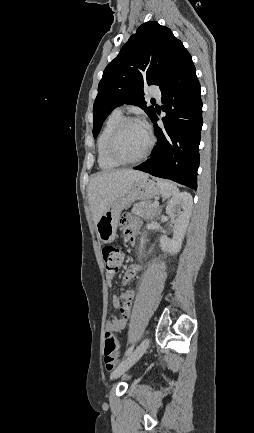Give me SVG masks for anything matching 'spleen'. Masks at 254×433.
Segmentation results:
<instances>
[{
	"mask_svg": "<svg viewBox=\"0 0 254 433\" xmlns=\"http://www.w3.org/2000/svg\"><path fill=\"white\" fill-rule=\"evenodd\" d=\"M157 186L159 187L161 196L164 198H169L179 192L177 186L169 180L158 179Z\"/></svg>",
	"mask_w": 254,
	"mask_h": 433,
	"instance_id": "1",
	"label": "spleen"
}]
</instances>
